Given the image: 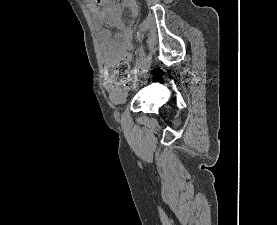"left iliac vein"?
<instances>
[{"mask_svg":"<svg viewBox=\"0 0 277 225\" xmlns=\"http://www.w3.org/2000/svg\"><path fill=\"white\" fill-rule=\"evenodd\" d=\"M151 61H152V56H151V54H148L144 60V63L142 66V71L139 73V76L144 75L148 71V69L151 65Z\"/></svg>","mask_w":277,"mask_h":225,"instance_id":"left-iliac-vein-1","label":"left iliac vein"}]
</instances>
